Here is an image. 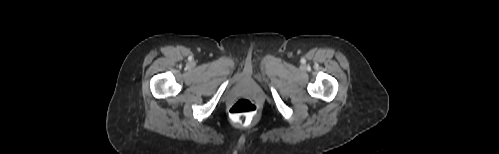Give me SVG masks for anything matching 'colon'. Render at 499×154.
Wrapping results in <instances>:
<instances>
[{
    "label": "colon",
    "mask_w": 499,
    "mask_h": 154,
    "mask_svg": "<svg viewBox=\"0 0 499 154\" xmlns=\"http://www.w3.org/2000/svg\"><path fill=\"white\" fill-rule=\"evenodd\" d=\"M257 106L251 100L242 98L236 101L229 110L230 118L240 125H248L255 118Z\"/></svg>",
    "instance_id": "colon-1"
}]
</instances>
